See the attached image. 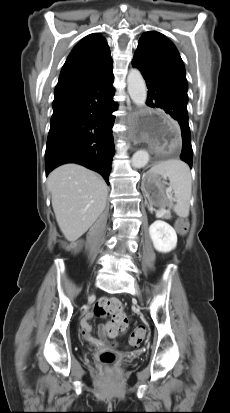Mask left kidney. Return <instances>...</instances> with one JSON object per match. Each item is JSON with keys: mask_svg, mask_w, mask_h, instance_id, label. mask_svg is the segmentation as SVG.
Masks as SVG:
<instances>
[{"mask_svg": "<svg viewBox=\"0 0 230 413\" xmlns=\"http://www.w3.org/2000/svg\"><path fill=\"white\" fill-rule=\"evenodd\" d=\"M149 234L154 248L161 253L172 251L177 245V234L173 227L162 220L150 225Z\"/></svg>", "mask_w": 230, "mask_h": 413, "instance_id": "1", "label": "left kidney"}]
</instances>
